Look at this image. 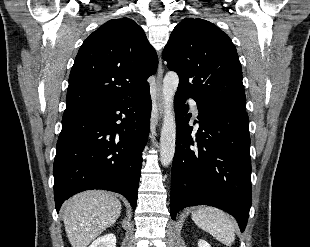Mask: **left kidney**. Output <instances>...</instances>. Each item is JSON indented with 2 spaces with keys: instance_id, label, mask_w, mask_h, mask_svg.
I'll list each match as a JSON object with an SVG mask.
<instances>
[{
  "instance_id": "1",
  "label": "left kidney",
  "mask_w": 310,
  "mask_h": 247,
  "mask_svg": "<svg viewBox=\"0 0 310 247\" xmlns=\"http://www.w3.org/2000/svg\"><path fill=\"white\" fill-rule=\"evenodd\" d=\"M198 247H211L210 244L208 242H206L205 240H199L198 241Z\"/></svg>"
}]
</instances>
